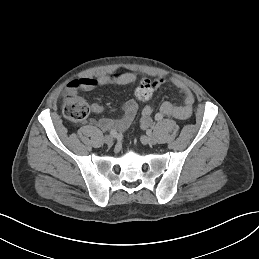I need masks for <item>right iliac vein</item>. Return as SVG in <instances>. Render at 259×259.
Returning <instances> with one entry per match:
<instances>
[{
	"label": "right iliac vein",
	"instance_id": "63e3f726",
	"mask_svg": "<svg viewBox=\"0 0 259 259\" xmlns=\"http://www.w3.org/2000/svg\"><path fill=\"white\" fill-rule=\"evenodd\" d=\"M104 142H105L106 144H111V143L113 142V137H112L111 135H106V136L104 137Z\"/></svg>",
	"mask_w": 259,
	"mask_h": 259
}]
</instances>
